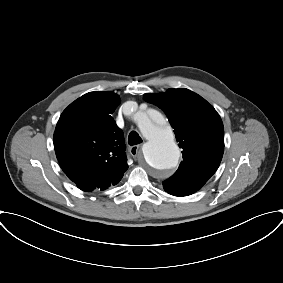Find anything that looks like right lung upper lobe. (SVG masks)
Instances as JSON below:
<instances>
[{
  "instance_id": "1",
  "label": "right lung upper lobe",
  "mask_w": 283,
  "mask_h": 283,
  "mask_svg": "<svg viewBox=\"0 0 283 283\" xmlns=\"http://www.w3.org/2000/svg\"><path fill=\"white\" fill-rule=\"evenodd\" d=\"M119 104L112 91L89 92L61 114L54 148L64 173L83 191L116 185L128 169L122 130L111 114Z\"/></svg>"
}]
</instances>
